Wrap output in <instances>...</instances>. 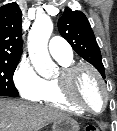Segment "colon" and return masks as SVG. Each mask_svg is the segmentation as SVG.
I'll return each mask as SVG.
<instances>
[{
  "instance_id": "5ec220e1",
  "label": "colon",
  "mask_w": 117,
  "mask_h": 131,
  "mask_svg": "<svg viewBox=\"0 0 117 131\" xmlns=\"http://www.w3.org/2000/svg\"><path fill=\"white\" fill-rule=\"evenodd\" d=\"M85 131H100V129L97 126H95V125H88L85 128Z\"/></svg>"
}]
</instances>
